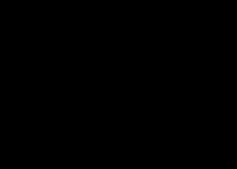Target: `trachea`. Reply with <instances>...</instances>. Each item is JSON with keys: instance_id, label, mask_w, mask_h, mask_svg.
<instances>
[{"instance_id": "1", "label": "trachea", "mask_w": 237, "mask_h": 169, "mask_svg": "<svg viewBox=\"0 0 237 169\" xmlns=\"http://www.w3.org/2000/svg\"><path fill=\"white\" fill-rule=\"evenodd\" d=\"M122 84H123V81L120 80V81L113 82V84H103L100 86V89H101V92L108 94V93H111L114 89H116L119 85H122ZM119 94L123 98L132 96L131 91L127 89H120Z\"/></svg>"}]
</instances>
